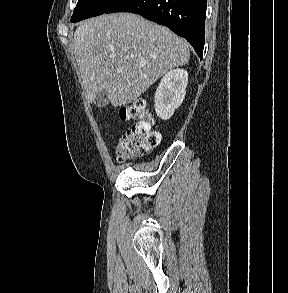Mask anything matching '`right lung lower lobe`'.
Listing matches in <instances>:
<instances>
[{"label": "right lung lower lobe", "instance_id": "obj_1", "mask_svg": "<svg viewBox=\"0 0 288 293\" xmlns=\"http://www.w3.org/2000/svg\"><path fill=\"white\" fill-rule=\"evenodd\" d=\"M207 0H119L105 13L132 12L184 37L202 59Z\"/></svg>", "mask_w": 288, "mask_h": 293}]
</instances>
